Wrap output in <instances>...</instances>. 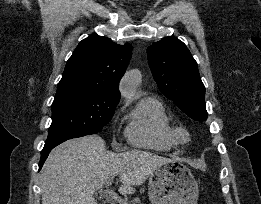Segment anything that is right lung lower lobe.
Masks as SVG:
<instances>
[{"mask_svg":"<svg viewBox=\"0 0 261 204\" xmlns=\"http://www.w3.org/2000/svg\"><path fill=\"white\" fill-rule=\"evenodd\" d=\"M68 140L67 138L65 139H60V140H55V141H51V142H45V146L43 148V150L41 151V159L39 162V169H41L42 165L44 164L46 158L48 157L50 151L56 147L57 145H59L60 143L64 142Z\"/></svg>","mask_w":261,"mask_h":204,"instance_id":"obj_1","label":"right lung lower lobe"}]
</instances>
